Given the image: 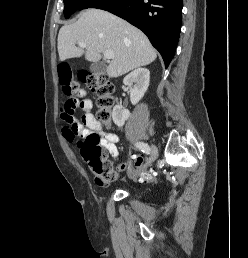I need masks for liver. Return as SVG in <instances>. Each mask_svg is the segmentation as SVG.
<instances>
[{
  "mask_svg": "<svg viewBox=\"0 0 248 258\" xmlns=\"http://www.w3.org/2000/svg\"><path fill=\"white\" fill-rule=\"evenodd\" d=\"M79 43L87 46L76 47ZM105 51L114 54L107 67V75L111 78L148 65L157 57L142 31L100 9L83 11L74 24L65 25L59 31L58 53L62 62L84 54L87 61L97 63Z\"/></svg>",
  "mask_w": 248,
  "mask_h": 258,
  "instance_id": "liver-1",
  "label": "liver"
}]
</instances>
